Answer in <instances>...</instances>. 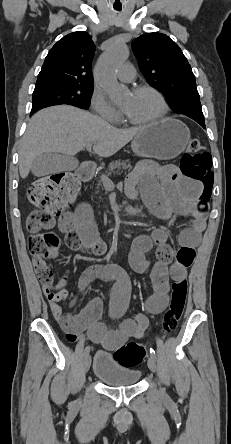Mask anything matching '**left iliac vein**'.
Listing matches in <instances>:
<instances>
[{
  "label": "left iliac vein",
  "instance_id": "obj_1",
  "mask_svg": "<svg viewBox=\"0 0 231 444\" xmlns=\"http://www.w3.org/2000/svg\"><path fill=\"white\" fill-rule=\"evenodd\" d=\"M148 367L150 368L151 371H153L154 373L157 372V363H156V358L154 356H152L150 354L149 358H148ZM161 393H164L163 388L160 389Z\"/></svg>",
  "mask_w": 231,
  "mask_h": 444
}]
</instances>
